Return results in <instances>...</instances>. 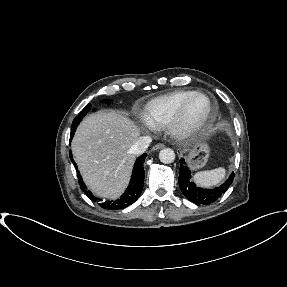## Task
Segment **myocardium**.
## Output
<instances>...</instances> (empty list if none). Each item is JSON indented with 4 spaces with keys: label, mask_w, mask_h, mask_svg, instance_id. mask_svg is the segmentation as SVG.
Wrapping results in <instances>:
<instances>
[{
    "label": "myocardium",
    "mask_w": 287,
    "mask_h": 287,
    "mask_svg": "<svg viewBox=\"0 0 287 287\" xmlns=\"http://www.w3.org/2000/svg\"><path fill=\"white\" fill-rule=\"evenodd\" d=\"M196 98L205 99L208 102V109L201 119L196 122H189L187 112L190 104ZM216 115V104L210 96L202 92H194L178 108L174 116L166 124L168 132L178 140H187L204 131Z\"/></svg>",
    "instance_id": "f54148a6"
}]
</instances>
